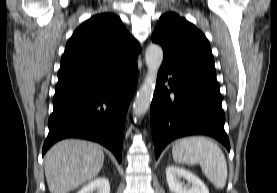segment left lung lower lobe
<instances>
[{"mask_svg":"<svg viewBox=\"0 0 277 193\" xmlns=\"http://www.w3.org/2000/svg\"><path fill=\"white\" fill-rule=\"evenodd\" d=\"M221 101L216 73L162 64L150 107L156 159L168 143L189 135L212 136L230 151Z\"/></svg>","mask_w":277,"mask_h":193,"instance_id":"0a47b994","label":"left lung lower lobe"}]
</instances>
